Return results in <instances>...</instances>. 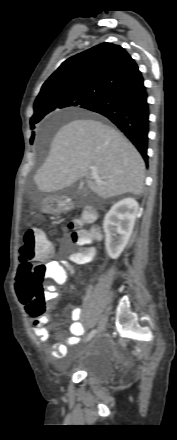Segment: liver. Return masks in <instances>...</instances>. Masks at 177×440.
Listing matches in <instances>:
<instances>
[{
  "label": "liver",
  "mask_w": 177,
  "mask_h": 440,
  "mask_svg": "<svg viewBox=\"0 0 177 440\" xmlns=\"http://www.w3.org/2000/svg\"><path fill=\"white\" fill-rule=\"evenodd\" d=\"M93 167L102 184L92 180ZM80 177H86L91 191L104 199L125 193L140 195L145 164L116 129L97 120L77 119L58 130L34 180L41 192L52 193L71 186Z\"/></svg>",
  "instance_id": "obj_1"
}]
</instances>
